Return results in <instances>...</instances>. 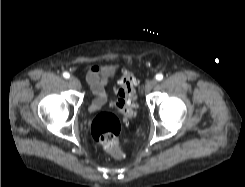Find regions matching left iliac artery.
I'll use <instances>...</instances> for the list:
<instances>
[{
  "label": "left iliac artery",
  "mask_w": 245,
  "mask_h": 187,
  "mask_svg": "<svg viewBox=\"0 0 245 187\" xmlns=\"http://www.w3.org/2000/svg\"><path fill=\"white\" fill-rule=\"evenodd\" d=\"M155 79L161 81L163 79V75L159 73L155 76Z\"/></svg>",
  "instance_id": "44dca946"
}]
</instances>
